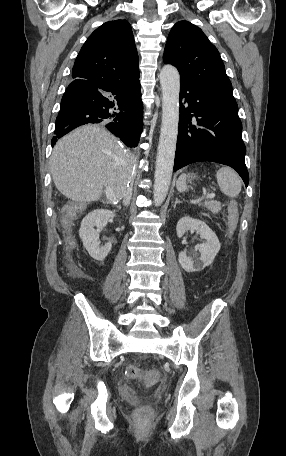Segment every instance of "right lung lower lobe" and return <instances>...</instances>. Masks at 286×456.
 <instances>
[{
  "label": "right lung lower lobe",
  "instance_id": "1",
  "mask_svg": "<svg viewBox=\"0 0 286 456\" xmlns=\"http://www.w3.org/2000/svg\"><path fill=\"white\" fill-rule=\"evenodd\" d=\"M140 88L139 77L112 87L75 79L61 100L52 146L78 126L101 123L125 145L136 147L143 127Z\"/></svg>",
  "mask_w": 286,
  "mask_h": 456
}]
</instances>
